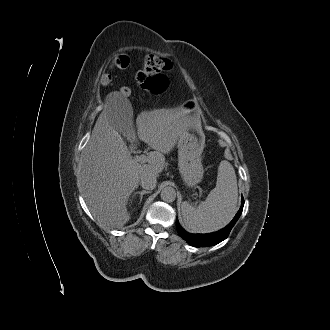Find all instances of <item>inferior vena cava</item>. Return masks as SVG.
<instances>
[{
	"label": "inferior vena cava",
	"mask_w": 330,
	"mask_h": 330,
	"mask_svg": "<svg viewBox=\"0 0 330 330\" xmlns=\"http://www.w3.org/2000/svg\"><path fill=\"white\" fill-rule=\"evenodd\" d=\"M141 186L147 190H153L156 187L157 179L152 173H146L141 177Z\"/></svg>",
	"instance_id": "602c4592"
}]
</instances>
